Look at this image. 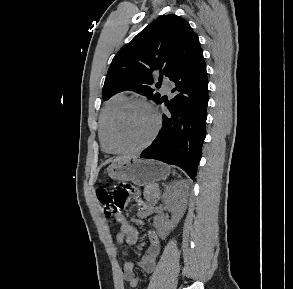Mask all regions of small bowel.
<instances>
[{
	"instance_id": "c3829d8e",
	"label": "small bowel",
	"mask_w": 293,
	"mask_h": 289,
	"mask_svg": "<svg viewBox=\"0 0 293 289\" xmlns=\"http://www.w3.org/2000/svg\"><path fill=\"white\" fill-rule=\"evenodd\" d=\"M139 216L147 218L153 213V207L139 201ZM115 219L120 223V229L116 234V241L119 244L133 245L138 241V231L132 226L121 212L115 214ZM148 246L143 258L139 262L141 269L147 273L155 269L156 262L160 255V241L156 231H148ZM121 276L124 282L130 287L135 288L138 285V278L134 273V264L130 261L125 262L121 267Z\"/></svg>"
}]
</instances>
